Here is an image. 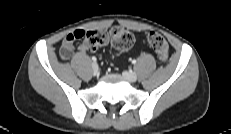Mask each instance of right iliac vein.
I'll list each match as a JSON object with an SVG mask.
<instances>
[{"label":"right iliac vein","instance_id":"63e3f726","mask_svg":"<svg viewBox=\"0 0 231 134\" xmlns=\"http://www.w3.org/2000/svg\"><path fill=\"white\" fill-rule=\"evenodd\" d=\"M92 70H93V74H94V75H96V74L98 73L99 67H98V65H97L96 62H94V63L92 64Z\"/></svg>","mask_w":231,"mask_h":134}]
</instances>
